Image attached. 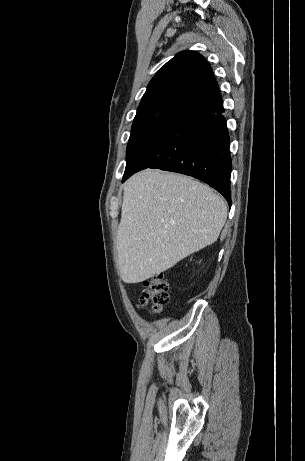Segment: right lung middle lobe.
I'll return each instance as SVG.
<instances>
[{"label":"right lung middle lobe","mask_w":305,"mask_h":461,"mask_svg":"<svg viewBox=\"0 0 305 461\" xmlns=\"http://www.w3.org/2000/svg\"><path fill=\"white\" fill-rule=\"evenodd\" d=\"M187 109L182 105L166 104L137 110L127 145L126 169L159 143Z\"/></svg>","instance_id":"dd1d6c3e"}]
</instances>
